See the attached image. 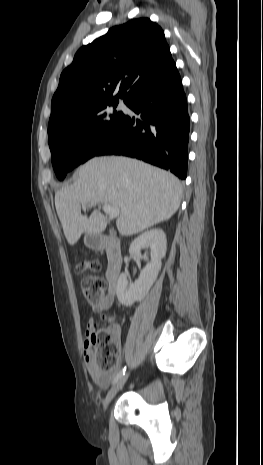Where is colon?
<instances>
[{
    "label": "colon",
    "instance_id": "5ec220e1",
    "mask_svg": "<svg viewBox=\"0 0 263 465\" xmlns=\"http://www.w3.org/2000/svg\"><path fill=\"white\" fill-rule=\"evenodd\" d=\"M100 265L94 260H83L76 265V272L85 274L88 271L99 270ZM82 293L90 302L100 300L106 291L103 278L87 274L81 283ZM93 349L92 358L96 368L103 373L114 370L120 362V342L117 330L114 328L95 327L87 339Z\"/></svg>",
    "mask_w": 263,
    "mask_h": 465
}]
</instances>
